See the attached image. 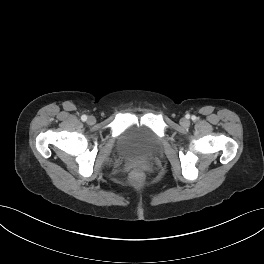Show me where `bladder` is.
Returning <instances> with one entry per match:
<instances>
[{"instance_id": "obj_1", "label": "bladder", "mask_w": 264, "mask_h": 264, "mask_svg": "<svg viewBox=\"0 0 264 264\" xmlns=\"http://www.w3.org/2000/svg\"><path fill=\"white\" fill-rule=\"evenodd\" d=\"M161 148L159 137L145 126L124 131L118 138L113 155L122 161H141L155 156Z\"/></svg>"}]
</instances>
